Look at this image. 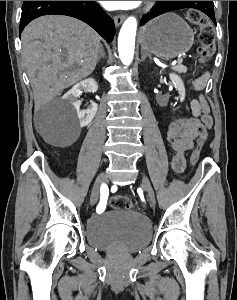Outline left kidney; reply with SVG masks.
Returning a JSON list of instances; mask_svg holds the SVG:
<instances>
[{
    "mask_svg": "<svg viewBox=\"0 0 237 300\" xmlns=\"http://www.w3.org/2000/svg\"><path fill=\"white\" fill-rule=\"evenodd\" d=\"M171 81H174L176 87H177V91L179 93V99L182 103V101H184L185 99V87H184V83L181 79V77H179V75H175V73H170L169 75Z\"/></svg>",
    "mask_w": 237,
    "mask_h": 300,
    "instance_id": "obj_1",
    "label": "left kidney"
}]
</instances>
